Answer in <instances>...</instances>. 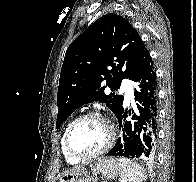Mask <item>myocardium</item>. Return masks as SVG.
I'll return each mask as SVG.
<instances>
[{"label":"myocardium","mask_w":196,"mask_h":182,"mask_svg":"<svg viewBox=\"0 0 196 182\" xmlns=\"http://www.w3.org/2000/svg\"><path fill=\"white\" fill-rule=\"evenodd\" d=\"M88 118H96L101 120L106 127L107 136H106L105 144L102 146V148H100L98 151L92 154L84 155V154L77 153L72 149L70 145V136L73 129L76 127V125ZM113 142H114V129L111 122L103 114L97 111H90L78 116L69 124L64 135V146L67 153L78 160H91L105 154L112 147Z\"/></svg>","instance_id":"myocardium-1"}]
</instances>
